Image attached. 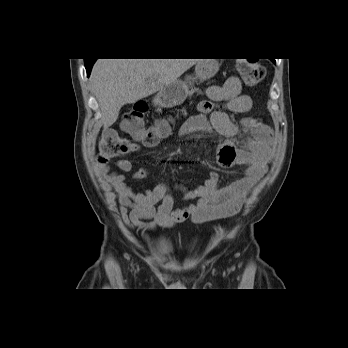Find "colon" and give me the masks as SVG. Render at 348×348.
Instances as JSON below:
<instances>
[{
  "mask_svg": "<svg viewBox=\"0 0 348 348\" xmlns=\"http://www.w3.org/2000/svg\"><path fill=\"white\" fill-rule=\"evenodd\" d=\"M238 70L243 81L250 86L258 85L265 75L264 66L253 59L238 61ZM148 107L145 103H136L123 117L121 127L134 139L144 144L153 145L164 138L171 129L172 121L161 119L153 125L146 127L144 118ZM130 143L117 131L109 129L102 133L99 144L97 162L106 165L111 160L129 152Z\"/></svg>",
  "mask_w": 348,
  "mask_h": 348,
  "instance_id": "1",
  "label": "colon"
}]
</instances>
